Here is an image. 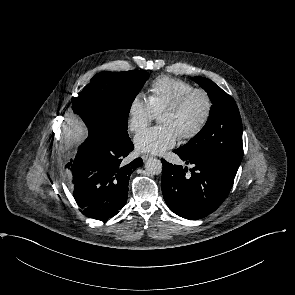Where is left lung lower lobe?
Returning <instances> with one entry per match:
<instances>
[{
    "instance_id": "0a47b994",
    "label": "left lung lower lobe",
    "mask_w": 295,
    "mask_h": 295,
    "mask_svg": "<svg viewBox=\"0 0 295 295\" xmlns=\"http://www.w3.org/2000/svg\"><path fill=\"white\" fill-rule=\"evenodd\" d=\"M186 164H193L191 175L188 168L163 164L161 188L168 207L177 215L191 220L204 218L214 212L228 196L238 168L224 160L211 156L186 157L174 151Z\"/></svg>"
}]
</instances>
